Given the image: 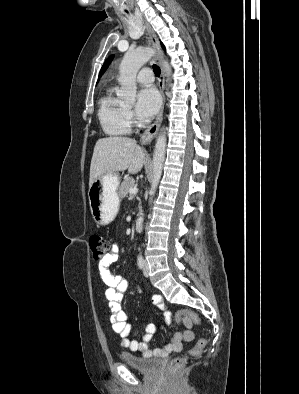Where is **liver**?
Wrapping results in <instances>:
<instances>
[{
    "mask_svg": "<svg viewBox=\"0 0 299 394\" xmlns=\"http://www.w3.org/2000/svg\"><path fill=\"white\" fill-rule=\"evenodd\" d=\"M146 160V152L135 139L120 136L100 138L91 159L89 186L106 174L125 170L136 174L141 171Z\"/></svg>",
    "mask_w": 299,
    "mask_h": 394,
    "instance_id": "liver-1",
    "label": "liver"
}]
</instances>
